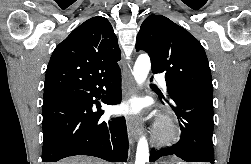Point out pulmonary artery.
<instances>
[{
    "label": "pulmonary artery",
    "instance_id": "obj_1",
    "mask_svg": "<svg viewBox=\"0 0 251 164\" xmlns=\"http://www.w3.org/2000/svg\"><path fill=\"white\" fill-rule=\"evenodd\" d=\"M155 79L160 81L163 84L164 87L166 86L164 78L161 75H159V74L155 75Z\"/></svg>",
    "mask_w": 251,
    "mask_h": 164
}]
</instances>
